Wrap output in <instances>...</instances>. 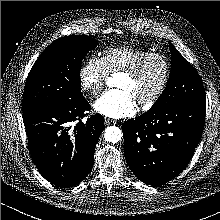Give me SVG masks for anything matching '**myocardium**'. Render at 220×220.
I'll list each match as a JSON object with an SVG mask.
<instances>
[{
  "label": "myocardium",
  "mask_w": 220,
  "mask_h": 220,
  "mask_svg": "<svg viewBox=\"0 0 220 220\" xmlns=\"http://www.w3.org/2000/svg\"><path fill=\"white\" fill-rule=\"evenodd\" d=\"M154 59L159 60L162 63L164 70L163 77L157 89L149 97L141 99L138 102L143 107L153 106L165 92L171 75V65L168 58L160 53H149L121 72V75L134 78L139 75L149 61Z\"/></svg>",
  "instance_id": "myocardium-1"
}]
</instances>
